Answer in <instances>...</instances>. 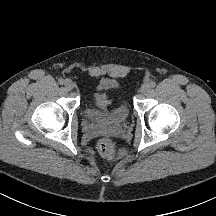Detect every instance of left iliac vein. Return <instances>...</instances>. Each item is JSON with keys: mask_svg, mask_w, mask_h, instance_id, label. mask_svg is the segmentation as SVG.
Wrapping results in <instances>:
<instances>
[{"mask_svg": "<svg viewBox=\"0 0 216 216\" xmlns=\"http://www.w3.org/2000/svg\"><path fill=\"white\" fill-rule=\"evenodd\" d=\"M149 88H150L149 84L145 83L141 86L140 92L142 94H146L148 92Z\"/></svg>", "mask_w": 216, "mask_h": 216, "instance_id": "4c4485c4", "label": "left iliac vein"}]
</instances>
